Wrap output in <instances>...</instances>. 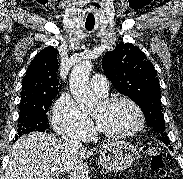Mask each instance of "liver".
<instances>
[{"label":"liver","instance_id":"liver-1","mask_svg":"<svg viewBox=\"0 0 183 179\" xmlns=\"http://www.w3.org/2000/svg\"><path fill=\"white\" fill-rule=\"evenodd\" d=\"M93 151L69 150L54 136L33 132L20 137L10 151L4 179H52L66 173L68 179H89L86 158Z\"/></svg>","mask_w":183,"mask_h":179}]
</instances>
